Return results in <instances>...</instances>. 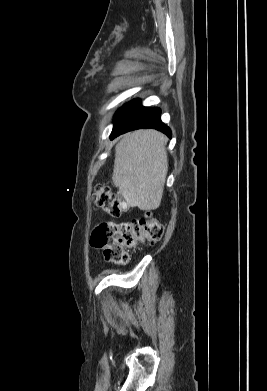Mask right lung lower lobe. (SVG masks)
<instances>
[{
  "label": "right lung lower lobe",
  "mask_w": 267,
  "mask_h": 391,
  "mask_svg": "<svg viewBox=\"0 0 267 391\" xmlns=\"http://www.w3.org/2000/svg\"><path fill=\"white\" fill-rule=\"evenodd\" d=\"M159 108L143 107L140 100L135 99L120 109L114 117L111 139L131 130L154 128L171 138V130L160 119Z\"/></svg>",
  "instance_id": "98d812e1"
}]
</instances>
